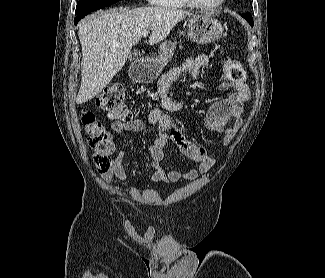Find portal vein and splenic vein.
Wrapping results in <instances>:
<instances>
[{
  "mask_svg": "<svg viewBox=\"0 0 325 278\" xmlns=\"http://www.w3.org/2000/svg\"><path fill=\"white\" fill-rule=\"evenodd\" d=\"M148 33H149L148 30H144L143 33H142L143 37H147L148 36Z\"/></svg>",
  "mask_w": 325,
  "mask_h": 278,
  "instance_id": "18ae733b",
  "label": "portal vein and splenic vein"
}]
</instances>
